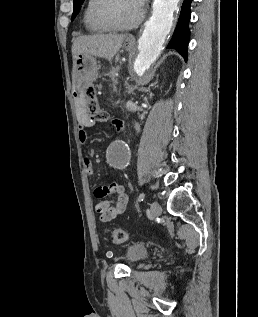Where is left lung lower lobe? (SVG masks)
<instances>
[{"label":"left lung lower lobe","instance_id":"left-lung-lower-lobe-1","mask_svg":"<svg viewBox=\"0 0 258 317\" xmlns=\"http://www.w3.org/2000/svg\"><path fill=\"white\" fill-rule=\"evenodd\" d=\"M192 1L193 0H184L178 24L170 42L167 45V49L177 50L184 57L185 61H187V44L190 36L188 23L191 17L190 7Z\"/></svg>","mask_w":258,"mask_h":317}]
</instances>
